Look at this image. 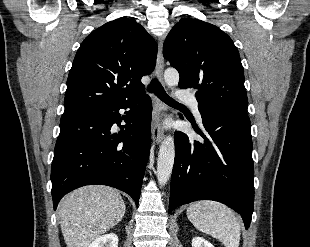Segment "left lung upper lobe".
I'll list each match as a JSON object with an SVG mask.
<instances>
[{
    "mask_svg": "<svg viewBox=\"0 0 310 247\" xmlns=\"http://www.w3.org/2000/svg\"><path fill=\"white\" fill-rule=\"evenodd\" d=\"M163 56L180 74L178 86L196 89L200 113L247 115L244 70L231 38L210 23L181 19L169 32Z\"/></svg>",
    "mask_w": 310,
    "mask_h": 247,
    "instance_id": "5c2ea615",
    "label": "left lung upper lobe"
}]
</instances>
